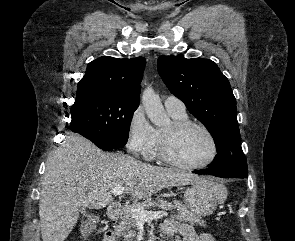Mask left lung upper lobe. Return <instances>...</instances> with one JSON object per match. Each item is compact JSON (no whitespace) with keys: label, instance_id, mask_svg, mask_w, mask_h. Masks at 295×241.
Returning <instances> with one entry per match:
<instances>
[{"label":"left lung upper lobe","instance_id":"left-lung-upper-lobe-1","mask_svg":"<svg viewBox=\"0 0 295 241\" xmlns=\"http://www.w3.org/2000/svg\"><path fill=\"white\" fill-rule=\"evenodd\" d=\"M157 66L171 93L214 138L217 155L208 168L246 178L248 166L240 146L236 99L216 63L203 58L160 56Z\"/></svg>","mask_w":295,"mask_h":241}]
</instances>
